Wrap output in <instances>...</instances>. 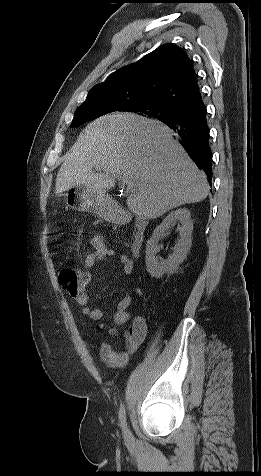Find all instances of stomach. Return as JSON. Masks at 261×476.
I'll return each mask as SVG.
<instances>
[{
	"mask_svg": "<svg viewBox=\"0 0 261 476\" xmlns=\"http://www.w3.org/2000/svg\"><path fill=\"white\" fill-rule=\"evenodd\" d=\"M67 205L78 211H90L105 219L114 220L113 200L106 194L95 191L87 185L74 186L67 190Z\"/></svg>",
	"mask_w": 261,
	"mask_h": 476,
	"instance_id": "1",
	"label": "stomach"
}]
</instances>
